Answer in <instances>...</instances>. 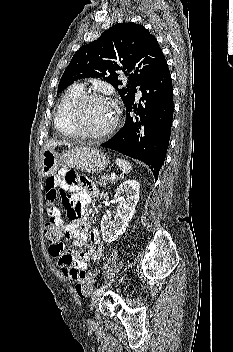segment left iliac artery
Here are the masks:
<instances>
[{
  "instance_id": "44dca946",
  "label": "left iliac artery",
  "mask_w": 233,
  "mask_h": 352,
  "mask_svg": "<svg viewBox=\"0 0 233 352\" xmlns=\"http://www.w3.org/2000/svg\"><path fill=\"white\" fill-rule=\"evenodd\" d=\"M113 281H114V280H112V282H113ZM112 282H110L108 285H110ZM108 285H103V286H101L100 288L96 289V290L94 291V295H96V294H98V293H100V292H103V291L105 290V288H107Z\"/></svg>"
}]
</instances>
